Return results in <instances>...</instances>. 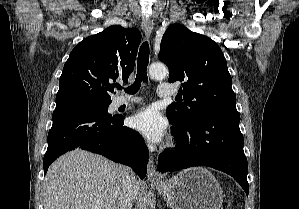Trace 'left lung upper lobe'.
<instances>
[{"mask_svg":"<svg viewBox=\"0 0 299 209\" xmlns=\"http://www.w3.org/2000/svg\"><path fill=\"white\" fill-rule=\"evenodd\" d=\"M160 48L159 59L169 68V82H183L179 92L184 102L172 103L166 110L172 125H186L207 109L236 106L226 59L212 39L173 24Z\"/></svg>","mask_w":299,"mask_h":209,"instance_id":"obj_1","label":"left lung upper lobe"}]
</instances>
